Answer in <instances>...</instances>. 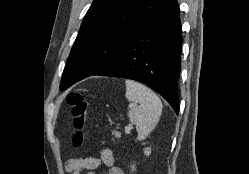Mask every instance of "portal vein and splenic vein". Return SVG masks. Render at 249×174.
I'll return each instance as SVG.
<instances>
[{
    "label": "portal vein and splenic vein",
    "instance_id": "18ae733b",
    "mask_svg": "<svg viewBox=\"0 0 249 174\" xmlns=\"http://www.w3.org/2000/svg\"><path fill=\"white\" fill-rule=\"evenodd\" d=\"M131 129H132V125L126 126V127H125V132H126L127 134H129L130 131H131Z\"/></svg>",
    "mask_w": 249,
    "mask_h": 174
}]
</instances>
